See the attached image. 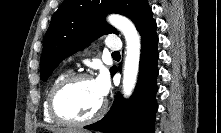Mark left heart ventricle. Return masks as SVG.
I'll return each mask as SVG.
<instances>
[{
	"label": "left heart ventricle",
	"instance_id": "left-heart-ventricle-1",
	"mask_svg": "<svg viewBox=\"0 0 221 133\" xmlns=\"http://www.w3.org/2000/svg\"><path fill=\"white\" fill-rule=\"evenodd\" d=\"M102 101L93 80H83L65 88L58 95L56 106L64 117L79 120L96 112Z\"/></svg>",
	"mask_w": 221,
	"mask_h": 133
}]
</instances>
